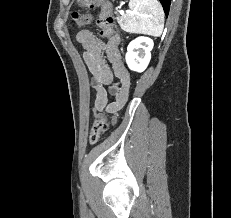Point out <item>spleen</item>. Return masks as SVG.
<instances>
[{
	"instance_id": "3e777b00",
	"label": "spleen",
	"mask_w": 231,
	"mask_h": 218,
	"mask_svg": "<svg viewBox=\"0 0 231 218\" xmlns=\"http://www.w3.org/2000/svg\"><path fill=\"white\" fill-rule=\"evenodd\" d=\"M129 8L130 11L120 20L124 31L155 37L162 34L164 11L158 0H130Z\"/></svg>"
}]
</instances>
